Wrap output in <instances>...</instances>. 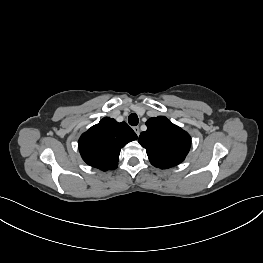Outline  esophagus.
<instances>
[{"mask_svg": "<svg viewBox=\"0 0 263 263\" xmlns=\"http://www.w3.org/2000/svg\"><path fill=\"white\" fill-rule=\"evenodd\" d=\"M133 130L135 131V133L137 134V136L140 135V129H139L138 126H135V127L133 128Z\"/></svg>", "mask_w": 263, "mask_h": 263, "instance_id": "34e87169", "label": "esophagus"}]
</instances>
